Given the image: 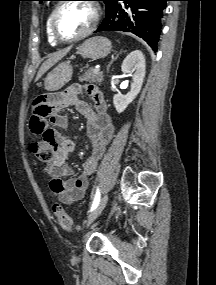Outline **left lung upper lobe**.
Listing matches in <instances>:
<instances>
[{
    "instance_id": "left-lung-upper-lobe-1",
    "label": "left lung upper lobe",
    "mask_w": 216,
    "mask_h": 285,
    "mask_svg": "<svg viewBox=\"0 0 216 285\" xmlns=\"http://www.w3.org/2000/svg\"><path fill=\"white\" fill-rule=\"evenodd\" d=\"M38 1H40V3H41V2L47 1V0H38ZM100 1H104L106 8L108 7L109 3L111 2V0H100Z\"/></svg>"
}]
</instances>
